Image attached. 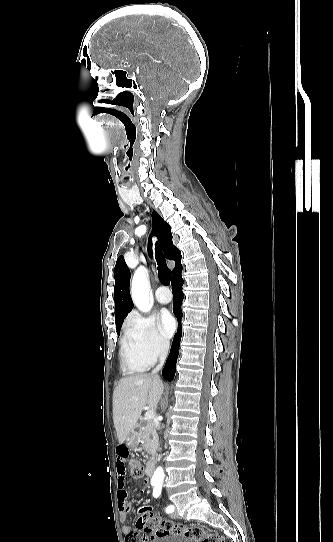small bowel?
<instances>
[{"mask_svg":"<svg viewBox=\"0 0 333 542\" xmlns=\"http://www.w3.org/2000/svg\"><path fill=\"white\" fill-rule=\"evenodd\" d=\"M128 458V448L126 445L121 444L117 448V460H116V472H117V500L118 511L121 519L124 521L131 511V505L129 502V494L126 488V460ZM141 485L147 486V477H142ZM139 493H144V488H139ZM122 531L126 536V542L128 535L133 531L129 525H124Z\"/></svg>","mask_w":333,"mask_h":542,"instance_id":"1","label":"small bowel"}]
</instances>
